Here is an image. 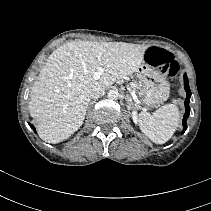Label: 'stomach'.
Instances as JSON below:
<instances>
[{"instance_id": "stomach-1", "label": "stomach", "mask_w": 211, "mask_h": 211, "mask_svg": "<svg viewBox=\"0 0 211 211\" xmlns=\"http://www.w3.org/2000/svg\"><path fill=\"white\" fill-rule=\"evenodd\" d=\"M136 76L144 85L143 103L146 106H155L163 103L169 97L170 85L164 75L149 66L147 63L140 65Z\"/></svg>"}]
</instances>
